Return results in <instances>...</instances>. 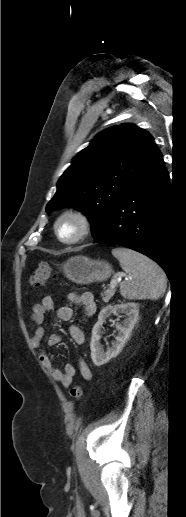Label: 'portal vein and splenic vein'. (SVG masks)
<instances>
[{
	"instance_id": "18ae733b",
	"label": "portal vein and splenic vein",
	"mask_w": 186,
	"mask_h": 517,
	"mask_svg": "<svg viewBox=\"0 0 186 517\" xmlns=\"http://www.w3.org/2000/svg\"><path fill=\"white\" fill-rule=\"evenodd\" d=\"M125 274H119L117 276H114V278L110 281V288L113 289L116 287L117 283H119L122 279V277H124Z\"/></svg>"
}]
</instances>
